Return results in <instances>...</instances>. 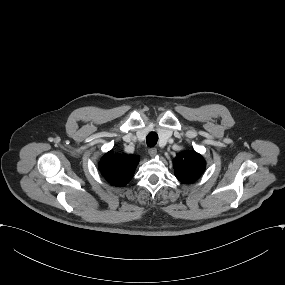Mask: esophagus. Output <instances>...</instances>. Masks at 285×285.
<instances>
[{
    "label": "esophagus",
    "instance_id": "obj_1",
    "mask_svg": "<svg viewBox=\"0 0 285 285\" xmlns=\"http://www.w3.org/2000/svg\"><path fill=\"white\" fill-rule=\"evenodd\" d=\"M148 154H149L151 157H154V156L157 154V149H156V148H149V149H148Z\"/></svg>",
    "mask_w": 285,
    "mask_h": 285
}]
</instances>
